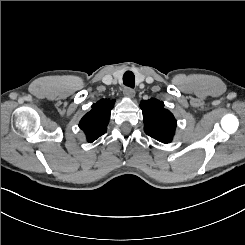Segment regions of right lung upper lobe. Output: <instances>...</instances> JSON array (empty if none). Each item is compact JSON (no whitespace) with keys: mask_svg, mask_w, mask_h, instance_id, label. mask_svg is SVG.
<instances>
[{"mask_svg":"<svg viewBox=\"0 0 245 245\" xmlns=\"http://www.w3.org/2000/svg\"><path fill=\"white\" fill-rule=\"evenodd\" d=\"M114 107V100L101 99L92 105V110L85 114L79 123V127L86 134L88 142L95 141L106 133L110 113Z\"/></svg>","mask_w":245,"mask_h":245,"instance_id":"obj_1","label":"right lung upper lobe"}]
</instances>
